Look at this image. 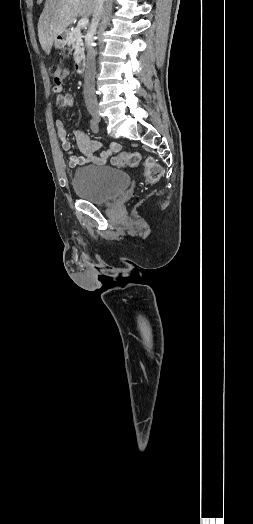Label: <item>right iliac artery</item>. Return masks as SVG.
<instances>
[{"label": "right iliac artery", "mask_w": 253, "mask_h": 524, "mask_svg": "<svg viewBox=\"0 0 253 524\" xmlns=\"http://www.w3.org/2000/svg\"><path fill=\"white\" fill-rule=\"evenodd\" d=\"M90 128L91 130L94 132V133H98L99 132V126H98V123L97 121H95L94 119H91L90 120Z\"/></svg>", "instance_id": "obj_1"}]
</instances>
